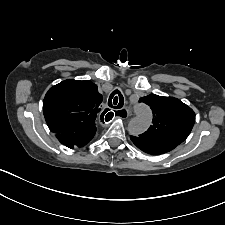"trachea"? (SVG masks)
Listing matches in <instances>:
<instances>
[{"label": "trachea", "mask_w": 225, "mask_h": 225, "mask_svg": "<svg viewBox=\"0 0 225 225\" xmlns=\"http://www.w3.org/2000/svg\"><path fill=\"white\" fill-rule=\"evenodd\" d=\"M123 104H124V98L120 92L115 91V92L111 93V95L109 96V99H108V105L110 107L115 108V109L122 108ZM107 115H110L111 118L113 117L112 112L108 113Z\"/></svg>", "instance_id": "3493384b"}]
</instances>
